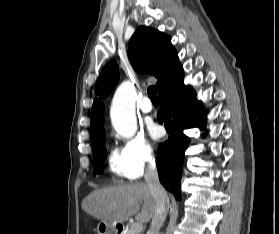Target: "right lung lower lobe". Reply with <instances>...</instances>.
Returning a JSON list of instances; mask_svg holds the SVG:
<instances>
[{"instance_id": "98d812e1", "label": "right lung lower lobe", "mask_w": 279, "mask_h": 234, "mask_svg": "<svg viewBox=\"0 0 279 234\" xmlns=\"http://www.w3.org/2000/svg\"><path fill=\"white\" fill-rule=\"evenodd\" d=\"M183 70L162 90L158 92L161 104L158 113L159 123L164 124L170 134L167 141L159 144L157 167L160 182L181 199L180 179L185 150L189 138L183 130L191 127L204 128L206 111L195 92L183 82Z\"/></svg>"}]
</instances>
